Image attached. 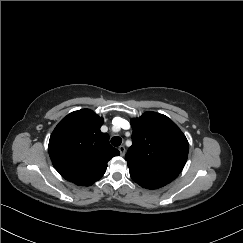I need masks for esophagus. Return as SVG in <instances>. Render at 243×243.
I'll return each mask as SVG.
<instances>
[{"mask_svg": "<svg viewBox=\"0 0 243 243\" xmlns=\"http://www.w3.org/2000/svg\"><path fill=\"white\" fill-rule=\"evenodd\" d=\"M118 150H119L121 156L125 155L126 149H125V147L123 145H120L118 147Z\"/></svg>", "mask_w": 243, "mask_h": 243, "instance_id": "esophagus-1", "label": "esophagus"}]
</instances>
